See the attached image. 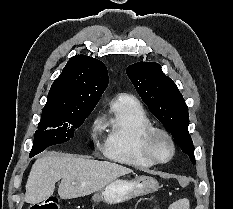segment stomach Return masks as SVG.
<instances>
[{"instance_id": "obj_1", "label": "stomach", "mask_w": 233, "mask_h": 209, "mask_svg": "<svg viewBox=\"0 0 233 209\" xmlns=\"http://www.w3.org/2000/svg\"><path fill=\"white\" fill-rule=\"evenodd\" d=\"M158 181L151 176H136L133 179H116L92 196L95 203L119 204L138 196L155 192Z\"/></svg>"}]
</instances>
